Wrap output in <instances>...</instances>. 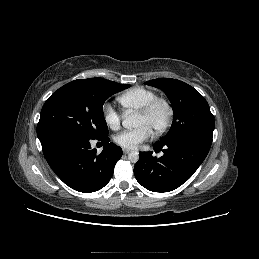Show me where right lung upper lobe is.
Returning a JSON list of instances; mask_svg holds the SVG:
<instances>
[{
	"label": "right lung upper lobe",
	"instance_id": "1",
	"mask_svg": "<svg viewBox=\"0 0 259 259\" xmlns=\"http://www.w3.org/2000/svg\"><path fill=\"white\" fill-rule=\"evenodd\" d=\"M89 79H99V78H89Z\"/></svg>",
	"mask_w": 259,
	"mask_h": 259
}]
</instances>
